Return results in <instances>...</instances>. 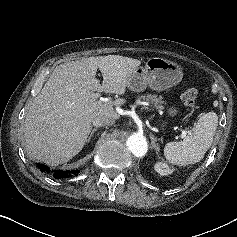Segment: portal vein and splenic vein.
I'll return each mask as SVG.
<instances>
[{
	"label": "portal vein and splenic vein",
	"instance_id": "portal-vein-and-splenic-vein-1",
	"mask_svg": "<svg viewBox=\"0 0 237 237\" xmlns=\"http://www.w3.org/2000/svg\"><path fill=\"white\" fill-rule=\"evenodd\" d=\"M92 96H93L94 98H99V97H100V93H98V92H97V93H94V94H92ZM186 134H187V131H183L181 137H185Z\"/></svg>",
	"mask_w": 237,
	"mask_h": 237
}]
</instances>
